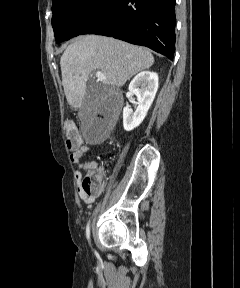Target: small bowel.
<instances>
[{
  "instance_id": "obj_1",
  "label": "small bowel",
  "mask_w": 240,
  "mask_h": 288,
  "mask_svg": "<svg viewBox=\"0 0 240 288\" xmlns=\"http://www.w3.org/2000/svg\"><path fill=\"white\" fill-rule=\"evenodd\" d=\"M90 148L86 145H82L79 148L73 150L70 154L71 162L76 166L74 171V179L77 187V192L79 197L86 203L91 204L94 202L95 198L98 197L103 188L104 184L102 183L101 190L98 194L94 196H86L82 190V171H86L88 174H97L100 177L103 175V168L98 165L96 161H87L82 162V156L89 152Z\"/></svg>"
}]
</instances>
